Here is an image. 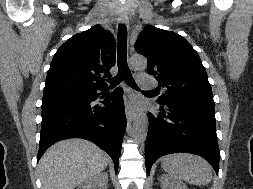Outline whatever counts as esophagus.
<instances>
[{"mask_svg":"<svg viewBox=\"0 0 253 189\" xmlns=\"http://www.w3.org/2000/svg\"><path fill=\"white\" fill-rule=\"evenodd\" d=\"M119 22L122 23V24H128V18H127V16L126 15H120L119 16ZM132 73L134 75H136V70L133 69ZM135 117H136L135 112H133V111H131L129 109L126 110V118H127L128 122H132L135 119Z\"/></svg>","mask_w":253,"mask_h":189,"instance_id":"esophagus-1","label":"esophagus"}]
</instances>
